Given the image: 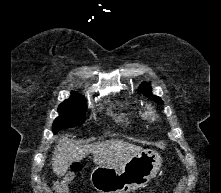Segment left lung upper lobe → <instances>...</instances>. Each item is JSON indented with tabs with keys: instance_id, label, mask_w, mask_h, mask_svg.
<instances>
[{
	"instance_id": "5c2ea615",
	"label": "left lung upper lobe",
	"mask_w": 221,
	"mask_h": 193,
	"mask_svg": "<svg viewBox=\"0 0 221 193\" xmlns=\"http://www.w3.org/2000/svg\"><path fill=\"white\" fill-rule=\"evenodd\" d=\"M138 91L142 92L145 96L150 98L153 101H156L158 103H162V100L151 93V86L149 83H142L139 87Z\"/></svg>"
}]
</instances>
